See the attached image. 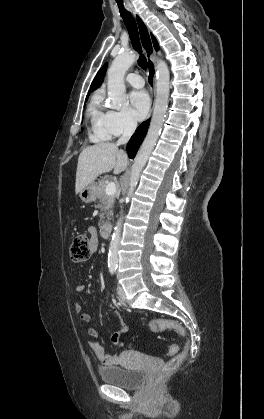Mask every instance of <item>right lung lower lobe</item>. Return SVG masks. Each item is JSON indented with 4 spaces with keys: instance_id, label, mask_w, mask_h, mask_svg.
Returning <instances> with one entry per match:
<instances>
[{
    "instance_id": "right-lung-lower-lobe-1",
    "label": "right lung lower lobe",
    "mask_w": 264,
    "mask_h": 419,
    "mask_svg": "<svg viewBox=\"0 0 264 419\" xmlns=\"http://www.w3.org/2000/svg\"><path fill=\"white\" fill-rule=\"evenodd\" d=\"M149 127V120L143 122L135 131L127 144V152L131 159H133L138 152V149L146 136Z\"/></svg>"
}]
</instances>
